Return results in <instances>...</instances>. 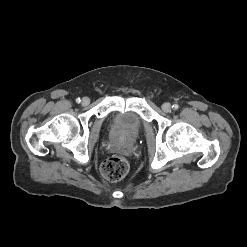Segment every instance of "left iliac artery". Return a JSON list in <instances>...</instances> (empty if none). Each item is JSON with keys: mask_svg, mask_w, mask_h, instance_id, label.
I'll use <instances>...</instances> for the list:
<instances>
[{"mask_svg": "<svg viewBox=\"0 0 247 247\" xmlns=\"http://www.w3.org/2000/svg\"><path fill=\"white\" fill-rule=\"evenodd\" d=\"M172 107L174 110H177L179 108L178 104H174Z\"/></svg>", "mask_w": 247, "mask_h": 247, "instance_id": "left-iliac-artery-1", "label": "left iliac artery"}]
</instances>
